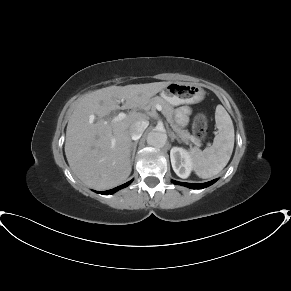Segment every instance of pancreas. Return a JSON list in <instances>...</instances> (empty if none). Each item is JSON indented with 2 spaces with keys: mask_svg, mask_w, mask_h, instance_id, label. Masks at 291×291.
Wrapping results in <instances>:
<instances>
[{
  "mask_svg": "<svg viewBox=\"0 0 291 291\" xmlns=\"http://www.w3.org/2000/svg\"><path fill=\"white\" fill-rule=\"evenodd\" d=\"M156 105H161L162 114L166 117L167 121L171 124L173 130L176 132V134L178 135V137L182 141H184L186 143H189L191 141L196 146H198V147L201 146L199 139H197V138H195L193 136H190V133L188 132V130L182 129L181 127H179L177 124L174 123V120H173L174 108H173L172 105H170L163 98H161L159 96L151 98L149 100V102L147 103V105L144 107V109L145 110H149V109L153 108Z\"/></svg>",
  "mask_w": 291,
  "mask_h": 291,
  "instance_id": "pancreas-1",
  "label": "pancreas"
}]
</instances>
